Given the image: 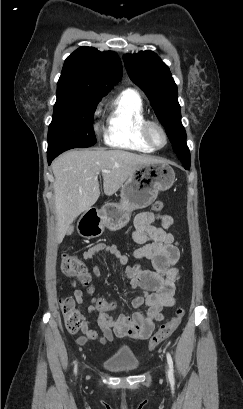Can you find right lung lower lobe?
I'll use <instances>...</instances> for the list:
<instances>
[{
	"label": "right lung lower lobe",
	"mask_w": 243,
	"mask_h": 409,
	"mask_svg": "<svg viewBox=\"0 0 243 409\" xmlns=\"http://www.w3.org/2000/svg\"><path fill=\"white\" fill-rule=\"evenodd\" d=\"M66 148L63 147H55L53 149H49L47 151V160H48V164L50 165L52 160L57 157L59 154H61L62 152L66 151Z\"/></svg>",
	"instance_id": "obj_1"
}]
</instances>
